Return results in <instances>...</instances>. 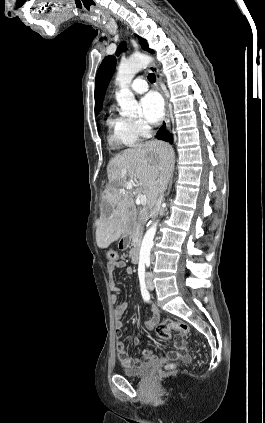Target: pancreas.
I'll return each instance as SVG.
<instances>
[{
  "instance_id": "obj_1",
  "label": "pancreas",
  "mask_w": 265,
  "mask_h": 423,
  "mask_svg": "<svg viewBox=\"0 0 265 423\" xmlns=\"http://www.w3.org/2000/svg\"><path fill=\"white\" fill-rule=\"evenodd\" d=\"M142 229H143L142 224L138 223L135 226V228L132 230L131 238L133 240V245H137V243H138V241L141 237Z\"/></svg>"
}]
</instances>
